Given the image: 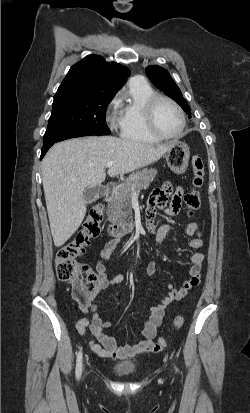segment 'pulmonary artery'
I'll list each match as a JSON object with an SVG mask.
<instances>
[{"label":"pulmonary artery","mask_w":250,"mask_h":413,"mask_svg":"<svg viewBox=\"0 0 250 413\" xmlns=\"http://www.w3.org/2000/svg\"><path fill=\"white\" fill-rule=\"evenodd\" d=\"M140 79H142V78H140V77H134L132 80H140Z\"/></svg>","instance_id":"obj_1"}]
</instances>
